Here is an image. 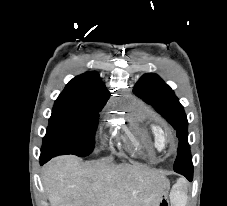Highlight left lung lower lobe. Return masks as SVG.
Listing matches in <instances>:
<instances>
[{
    "label": "left lung lower lobe",
    "instance_id": "left-lung-lower-lobe-1",
    "mask_svg": "<svg viewBox=\"0 0 227 206\" xmlns=\"http://www.w3.org/2000/svg\"><path fill=\"white\" fill-rule=\"evenodd\" d=\"M176 172L184 175L189 181L193 179V169L176 170Z\"/></svg>",
    "mask_w": 227,
    "mask_h": 206
}]
</instances>
